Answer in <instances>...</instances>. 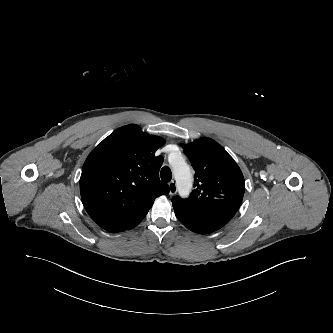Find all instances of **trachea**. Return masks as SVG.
<instances>
[{
  "instance_id": "obj_1",
  "label": "trachea",
  "mask_w": 333,
  "mask_h": 333,
  "mask_svg": "<svg viewBox=\"0 0 333 333\" xmlns=\"http://www.w3.org/2000/svg\"><path fill=\"white\" fill-rule=\"evenodd\" d=\"M160 176L164 182H169L172 179V172H171L170 168L168 166H164L161 169Z\"/></svg>"
}]
</instances>
